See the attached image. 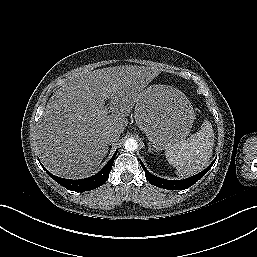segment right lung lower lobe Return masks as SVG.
Listing matches in <instances>:
<instances>
[{
    "label": "right lung lower lobe",
    "mask_w": 257,
    "mask_h": 257,
    "mask_svg": "<svg viewBox=\"0 0 257 257\" xmlns=\"http://www.w3.org/2000/svg\"><path fill=\"white\" fill-rule=\"evenodd\" d=\"M117 154V151L114 153L113 157L110 159V161L104 166V168L97 173L96 175L86 178V179H80V180H70V179H64L57 177L50 172H48L42 165L43 169L51 176L57 183L62 185L63 187L71 190V191H88L95 189L101 185H103L108 177L109 173L111 171L115 156Z\"/></svg>",
    "instance_id": "right-lung-lower-lobe-1"
}]
</instances>
